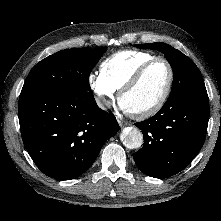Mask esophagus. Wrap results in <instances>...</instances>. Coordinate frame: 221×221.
Listing matches in <instances>:
<instances>
[{
  "label": "esophagus",
  "mask_w": 221,
  "mask_h": 221,
  "mask_svg": "<svg viewBox=\"0 0 221 221\" xmlns=\"http://www.w3.org/2000/svg\"><path fill=\"white\" fill-rule=\"evenodd\" d=\"M118 123H119V126L120 127H123V126H125L127 123H125L124 121H122V120H118Z\"/></svg>",
  "instance_id": "1"
}]
</instances>
